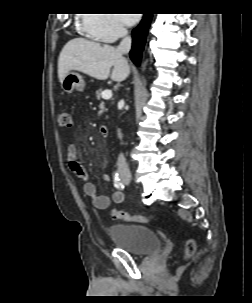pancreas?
Listing matches in <instances>:
<instances>
[{"label": "pancreas", "mask_w": 252, "mask_h": 303, "mask_svg": "<svg viewBox=\"0 0 252 303\" xmlns=\"http://www.w3.org/2000/svg\"><path fill=\"white\" fill-rule=\"evenodd\" d=\"M101 93H102V90H101V89H98V90L95 92L96 97H97L98 100L101 98ZM104 111H105V105H104V102H102V103L100 104V112H99V114H102Z\"/></svg>", "instance_id": "pancreas-1"}]
</instances>
